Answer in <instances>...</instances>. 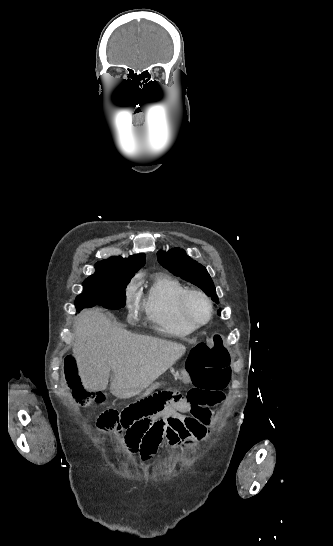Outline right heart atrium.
Instances as JSON below:
<instances>
[{"mask_svg": "<svg viewBox=\"0 0 333 546\" xmlns=\"http://www.w3.org/2000/svg\"><path fill=\"white\" fill-rule=\"evenodd\" d=\"M131 296H132V287L130 286L128 288V291H127V301H128V303L130 302Z\"/></svg>", "mask_w": 333, "mask_h": 546, "instance_id": "obj_1", "label": "right heart atrium"}]
</instances>
